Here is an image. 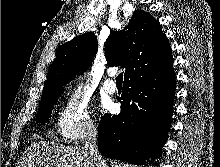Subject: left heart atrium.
Listing matches in <instances>:
<instances>
[{"instance_id":"obj_1","label":"left heart atrium","mask_w":220,"mask_h":167,"mask_svg":"<svg viewBox=\"0 0 220 167\" xmlns=\"http://www.w3.org/2000/svg\"><path fill=\"white\" fill-rule=\"evenodd\" d=\"M110 103H106L105 105H104V107L106 108V109H109L110 108Z\"/></svg>"}]
</instances>
